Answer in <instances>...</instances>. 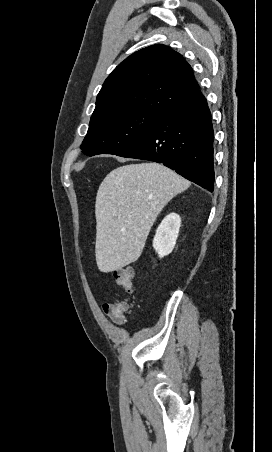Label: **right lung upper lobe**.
I'll return each mask as SVG.
<instances>
[{"mask_svg":"<svg viewBox=\"0 0 272 452\" xmlns=\"http://www.w3.org/2000/svg\"><path fill=\"white\" fill-rule=\"evenodd\" d=\"M199 91L191 66L169 47L156 44L121 62L105 80L91 117L143 109L170 112Z\"/></svg>","mask_w":272,"mask_h":452,"instance_id":"cb5924a9","label":"right lung upper lobe"}]
</instances>
